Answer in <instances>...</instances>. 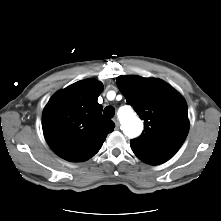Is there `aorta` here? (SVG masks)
Masks as SVG:
<instances>
[{
    "mask_svg": "<svg viewBox=\"0 0 221 221\" xmlns=\"http://www.w3.org/2000/svg\"><path fill=\"white\" fill-rule=\"evenodd\" d=\"M119 118L126 136L134 138L141 133L143 124L141 120L133 113L131 107L125 106L120 108Z\"/></svg>",
    "mask_w": 221,
    "mask_h": 221,
    "instance_id": "aorta-1",
    "label": "aorta"
}]
</instances>
